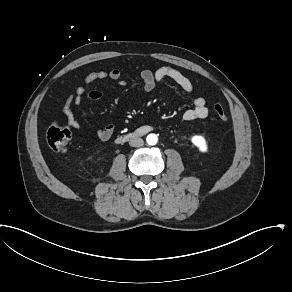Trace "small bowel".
I'll return each mask as SVG.
<instances>
[{"label": "small bowel", "mask_w": 292, "mask_h": 292, "mask_svg": "<svg viewBox=\"0 0 292 292\" xmlns=\"http://www.w3.org/2000/svg\"><path fill=\"white\" fill-rule=\"evenodd\" d=\"M140 78L143 83V88L146 92H152L158 82L165 79L174 81L183 91L186 93H192L194 86L192 81L185 76L179 70L173 67H159L155 70L145 69L140 73ZM113 80L120 81L121 71L117 68L110 70H98L87 74L84 80V84L78 87L74 92L68 94L63 104L62 112L67 124L74 130L81 131L82 124L76 118L74 113V107L81 101L82 98L90 100H99L102 97V93L99 90L88 91V88L92 83L98 80ZM120 85H124L123 81L119 82ZM193 107L187 109L182 114L184 121H193L196 119H204L209 114V109L206 105V101L201 96H195L192 100ZM115 131V126L109 124L103 129L97 132V136L101 141H108L111 139Z\"/></svg>", "instance_id": "c3829d8e"}]
</instances>
